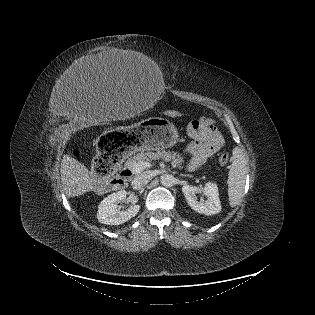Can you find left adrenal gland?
I'll return each mask as SVG.
<instances>
[{
    "label": "left adrenal gland",
    "mask_w": 315,
    "mask_h": 315,
    "mask_svg": "<svg viewBox=\"0 0 315 315\" xmlns=\"http://www.w3.org/2000/svg\"><path fill=\"white\" fill-rule=\"evenodd\" d=\"M180 176H182V177H190L189 174H181Z\"/></svg>",
    "instance_id": "obj_1"
}]
</instances>
